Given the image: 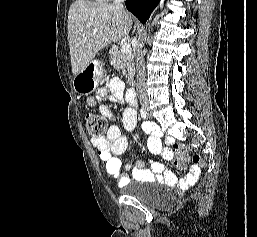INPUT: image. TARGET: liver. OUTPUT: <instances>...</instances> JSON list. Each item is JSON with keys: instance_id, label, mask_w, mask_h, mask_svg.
Returning a JSON list of instances; mask_svg holds the SVG:
<instances>
[{"instance_id": "liver-1", "label": "liver", "mask_w": 257, "mask_h": 237, "mask_svg": "<svg viewBox=\"0 0 257 237\" xmlns=\"http://www.w3.org/2000/svg\"><path fill=\"white\" fill-rule=\"evenodd\" d=\"M132 18L114 4L76 0L68 13V42L72 73L76 76L99 50L125 38Z\"/></svg>"}]
</instances>
